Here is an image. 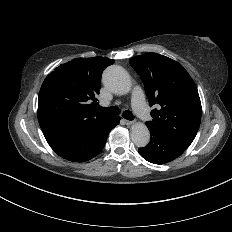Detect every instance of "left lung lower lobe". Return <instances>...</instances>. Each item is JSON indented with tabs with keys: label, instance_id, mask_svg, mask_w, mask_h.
Masks as SVG:
<instances>
[{
	"label": "left lung lower lobe",
	"instance_id": "obj_1",
	"mask_svg": "<svg viewBox=\"0 0 232 232\" xmlns=\"http://www.w3.org/2000/svg\"><path fill=\"white\" fill-rule=\"evenodd\" d=\"M150 142L139 148V154L154 164L168 163L179 157L188 147L162 134L150 131Z\"/></svg>",
	"mask_w": 232,
	"mask_h": 232
}]
</instances>
